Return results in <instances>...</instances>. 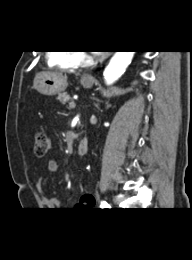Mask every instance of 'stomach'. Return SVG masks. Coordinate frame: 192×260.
<instances>
[{"label": "stomach", "instance_id": "0dacf381", "mask_svg": "<svg viewBox=\"0 0 192 260\" xmlns=\"http://www.w3.org/2000/svg\"><path fill=\"white\" fill-rule=\"evenodd\" d=\"M81 84L85 88H91L94 80H81ZM68 86L67 78L62 73L43 72L36 75L34 79V88L46 96H54L63 92Z\"/></svg>", "mask_w": 192, "mask_h": 260}]
</instances>
